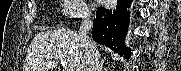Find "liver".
<instances>
[{"instance_id":"obj_1","label":"liver","mask_w":181,"mask_h":71,"mask_svg":"<svg viewBox=\"0 0 181 71\" xmlns=\"http://www.w3.org/2000/svg\"><path fill=\"white\" fill-rule=\"evenodd\" d=\"M56 53L64 56L67 70L84 71L85 49L81 45L79 35L66 29L50 30L37 34L28 48L24 71H50L55 69L58 64L54 57ZM51 59H54V61H51Z\"/></svg>"}]
</instances>
